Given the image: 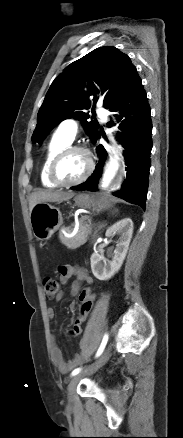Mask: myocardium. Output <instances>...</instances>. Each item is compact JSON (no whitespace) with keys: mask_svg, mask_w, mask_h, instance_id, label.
Wrapping results in <instances>:
<instances>
[{"mask_svg":"<svg viewBox=\"0 0 183 438\" xmlns=\"http://www.w3.org/2000/svg\"><path fill=\"white\" fill-rule=\"evenodd\" d=\"M73 152H80L84 154V156L86 157L87 166L85 172L80 178L72 182H63L59 180L57 177V168L61 160ZM94 168H95L94 159L88 148L80 145H69L63 148L62 150H60L52 159L48 169V178L57 187H73L84 183L92 175Z\"/></svg>","mask_w":183,"mask_h":438,"instance_id":"1","label":"myocardium"}]
</instances>
